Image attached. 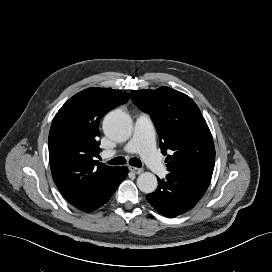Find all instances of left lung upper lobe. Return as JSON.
Listing matches in <instances>:
<instances>
[{
	"label": "left lung upper lobe",
	"mask_w": 272,
	"mask_h": 272,
	"mask_svg": "<svg viewBox=\"0 0 272 272\" xmlns=\"http://www.w3.org/2000/svg\"><path fill=\"white\" fill-rule=\"evenodd\" d=\"M131 99L150 114L160 137L169 173L210 182L215 165L211 132L198 106L186 94L161 87L131 91Z\"/></svg>",
	"instance_id": "left-lung-upper-lobe-1"
}]
</instances>
